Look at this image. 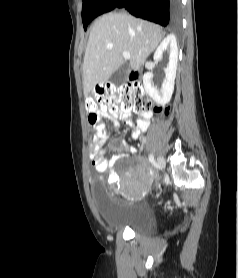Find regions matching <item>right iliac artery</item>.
Returning <instances> with one entry per match:
<instances>
[{
  "label": "right iliac artery",
  "instance_id": "right-iliac-artery-1",
  "mask_svg": "<svg viewBox=\"0 0 238 278\" xmlns=\"http://www.w3.org/2000/svg\"><path fill=\"white\" fill-rule=\"evenodd\" d=\"M149 161H150L151 163H154V162H155L154 156H153L152 154H150V156H149Z\"/></svg>",
  "mask_w": 238,
  "mask_h": 278
}]
</instances>
